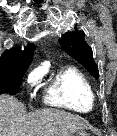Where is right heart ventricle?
<instances>
[{"label": "right heart ventricle", "mask_w": 117, "mask_h": 136, "mask_svg": "<svg viewBox=\"0 0 117 136\" xmlns=\"http://www.w3.org/2000/svg\"><path fill=\"white\" fill-rule=\"evenodd\" d=\"M44 101L50 106L88 113L95 107V93L83 73L67 66L58 71L48 84Z\"/></svg>", "instance_id": "right-heart-ventricle-1"}]
</instances>
